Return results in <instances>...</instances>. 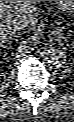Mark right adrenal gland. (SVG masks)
Returning a JSON list of instances; mask_svg holds the SVG:
<instances>
[{
	"label": "right adrenal gland",
	"instance_id": "obj_1",
	"mask_svg": "<svg viewBox=\"0 0 74 122\" xmlns=\"http://www.w3.org/2000/svg\"><path fill=\"white\" fill-rule=\"evenodd\" d=\"M20 33L12 32L6 39V44H11V41L19 38Z\"/></svg>",
	"mask_w": 74,
	"mask_h": 122
}]
</instances>
